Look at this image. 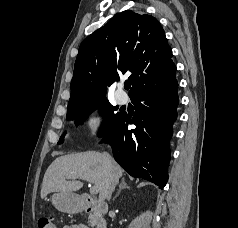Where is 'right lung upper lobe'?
Listing matches in <instances>:
<instances>
[{
	"label": "right lung upper lobe",
	"instance_id": "1",
	"mask_svg": "<svg viewBox=\"0 0 238 228\" xmlns=\"http://www.w3.org/2000/svg\"><path fill=\"white\" fill-rule=\"evenodd\" d=\"M171 57L172 50L156 18L123 11L81 43L68 106L106 101V90L125 73L130 74L131 97L175 75Z\"/></svg>",
	"mask_w": 238,
	"mask_h": 228
}]
</instances>
